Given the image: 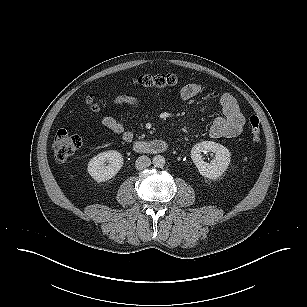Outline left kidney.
I'll return each instance as SVG.
<instances>
[{"label":"left kidney","mask_w":307,"mask_h":307,"mask_svg":"<svg viewBox=\"0 0 307 307\" xmlns=\"http://www.w3.org/2000/svg\"><path fill=\"white\" fill-rule=\"evenodd\" d=\"M215 153L214 159L207 163L202 159V152ZM231 154L221 144L213 141H202L192 147L191 158L199 173L209 179H217L223 175L230 164Z\"/></svg>","instance_id":"1"}]
</instances>
